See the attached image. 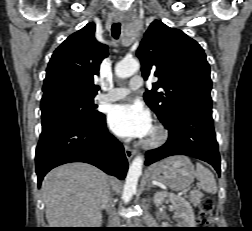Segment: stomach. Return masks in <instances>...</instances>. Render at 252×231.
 <instances>
[{
  "mask_svg": "<svg viewBox=\"0 0 252 231\" xmlns=\"http://www.w3.org/2000/svg\"><path fill=\"white\" fill-rule=\"evenodd\" d=\"M152 180H157L173 190H184L194 181L195 170L187 156H172L148 169Z\"/></svg>",
  "mask_w": 252,
  "mask_h": 231,
  "instance_id": "stomach-1",
  "label": "stomach"
}]
</instances>
